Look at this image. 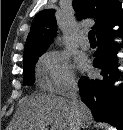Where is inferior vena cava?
I'll use <instances>...</instances> for the list:
<instances>
[{"instance_id":"inferior-vena-cava-1","label":"inferior vena cava","mask_w":123,"mask_h":130,"mask_svg":"<svg viewBox=\"0 0 123 130\" xmlns=\"http://www.w3.org/2000/svg\"><path fill=\"white\" fill-rule=\"evenodd\" d=\"M78 85L75 80H71L69 82V91L68 96L72 100V122H71V130H79L80 128V110L78 107Z\"/></svg>"}]
</instances>
